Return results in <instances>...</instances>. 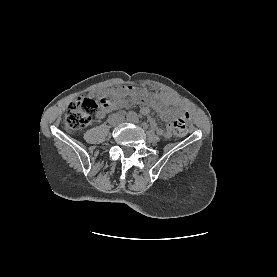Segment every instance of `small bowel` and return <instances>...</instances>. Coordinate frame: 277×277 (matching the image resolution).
Segmentation results:
<instances>
[{"mask_svg":"<svg viewBox=\"0 0 277 277\" xmlns=\"http://www.w3.org/2000/svg\"><path fill=\"white\" fill-rule=\"evenodd\" d=\"M106 103L101 107L97 113L99 119L104 118L105 115L115 109L123 108L127 105V101L123 98L125 95L140 97V101L145 104L142 107L141 113L148 115L150 107L154 109L161 120L168 122L166 130L159 128L154 120H151V126L158 134H163L166 137L171 135V121L180 116L186 121L189 120L190 115L187 111L180 107L178 100L174 95L164 91H149L147 89L136 90L132 86H126L120 90L103 89L100 92Z\"/></svg>","mask_w":277,"mask_h":277,"instance_id":"small-bowel-1","label":"small bowel"}]
</instances>
